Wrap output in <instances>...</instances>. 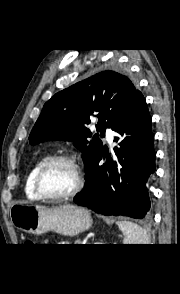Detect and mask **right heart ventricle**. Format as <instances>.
Wrapping results in <instances>:
<instances>
[{
	"label": "right heart ventricle",
	"mask_w": 180,
	"mask_h": 294,
	"mask_svg": "<svg viewBox=\"0 0 180 294\" xmlns=\"http://www.w3.org/2000/svg\"><path fill=\"white\" fill-rule=\"evenodd\" d=\"M47 159V157L40 158L31 168L29 173L26 176L25 183H24V191L25 194L29 197H33L38 199L35 189H34V177L38 170V168L42 165V163Z\"/></svg>",
	"instance_id": "e07e8e85"
}]
</instances>
